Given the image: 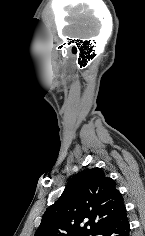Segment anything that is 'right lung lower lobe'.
Returning <instances> with one entry per match:
<instances>
[{"label":"right lung lower lobe","instance_id":"right-lung-lower-lobe-1","mask_svg":"<svg viewBox=\"0 0 145 236\" xmlns=\"http://www.w3.org/2000/svg\"><path fill=\"white\" fill-rule=\"evenodd\" d=\"M129 231L130 225L127 219L126 208L124 207L94 234L100 236H129Z\"/></svg>","mask_w":145,"mask_h":236}]
</instances>
